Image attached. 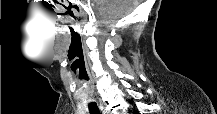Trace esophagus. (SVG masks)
I'll list each match as a JSON object with an SVG mask.
<instances>
[{
  "label": "esophagus",
  "mask_w": 217,
  "mask_h": 114,
  "mask_svg": "<svg viewBox=\"0 0 217 114\" xmlns=\"http://www.w3.org/2000/svg\"><path fill=\"white\" fill-rule=\"evenodd\" d=\"M100 105L102 106L101 100H100Z\"/></svg>",
  "instance_id": "esophagus-1"
}]
</instances>
